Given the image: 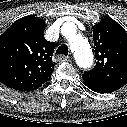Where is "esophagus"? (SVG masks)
Here are the masks:
<instances>
[{
	"mask_svg": "<svg viewBox=\"0 0 127 127\" xmlns=\"http://www.w3.org/2000/svg\"><path fill=\"white\" fill-rule=\"evenodd\" d=\"M57 60L59 62H66V61H69L70 60V57L64 56V55H59V56H57Z\"/></svg>",
	"mask_w": 127,
	"mask_h": 127,
	"instance_id": "obj_1",
	"label": "esophagus"
}]
</instances>
